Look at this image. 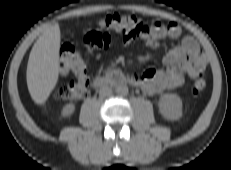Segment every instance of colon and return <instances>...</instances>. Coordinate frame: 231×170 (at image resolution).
Wrapping results in <instances>:
<instances>
[{
    "instance_id": "colon-1",
    "label": "colon",
    "mask_w": 231,
    "mask_h": 170,
    "mask_svg": "<svg viewBox=\"0 0 231 170\" xmlns=\"http://www.w3.org/2000/svg\"><path fill=\"white\" fill-rule=\"evenodd\" d=\"M102 30L136 37L145 30L142 20L133 14L110 13L100 19L98 23ZM60 71L66 75H73L74 80L61 86L54 92V98L64 101H77L88 95L89 79L86 63L81 53L70 44L61 48ZM207 81L204 74H198L191 84V92L200 94L205 91Z\"/></svg>"
}]
</instances>
